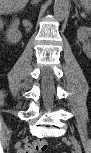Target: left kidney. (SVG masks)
<instances>
[{"label":"left kidney","mask_w":91,"mask_h":153,"mask_svg":"<svg viewBox=\"0 0 91 153\" xmlns=\"http://www.w3.org/2000/svg\"><path fill=\"white\" fill-rule=\"evenodd\" d=\"M90 34V28L89 27H80L77 31V38L79 41L83 43V50L87 57H91V47L90 45L85 43L86 36Z\"/></svg>","instance_id":"obj_1"}]
</instances>
